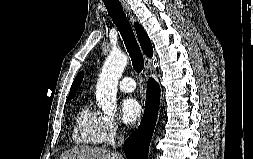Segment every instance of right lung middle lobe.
Instances as JSON below:
<instances>
[{
	"instance_id": "dd1d6c3e",
	"label": "right lung middle lobe",
	"mask_w": 253,
	"mask_h": 159,
	"mask_svg": "<svg viewBox=\"0 0 253 159\" xmlns=\"http://www.w3.org/2000/svg\"><path fill=\"white\" fill-rule=\"evenodd\" d=\"M70 99L66 100V103L69 102Z\"/></svg>"
}]
</instances>
